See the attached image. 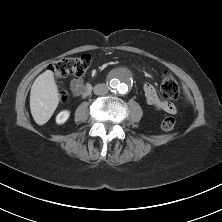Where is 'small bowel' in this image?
Segmentation results:
<instances>
[{
	"mask_svg": "<svg viewBox=\"0 0 222 222\" xmlns=\"http://www.w3.org/2000/svg\"><path fill=\"white\" fill-rule=\"evenodd\" d=\"M84 86V80L81 77H75L70 82V90L73 95H80ZM144 95L148 104L154 106L156 110L164 111L169 114H175L177 112L176 106L169 102L163 101L159 98L155 87L146 83L144 85Z\"/></svg>",
	"mask_w": 222,
	"mask_h": 222,
	"instance_id": "obj_1",
	"label": "small bowel"
}]
</instances>
